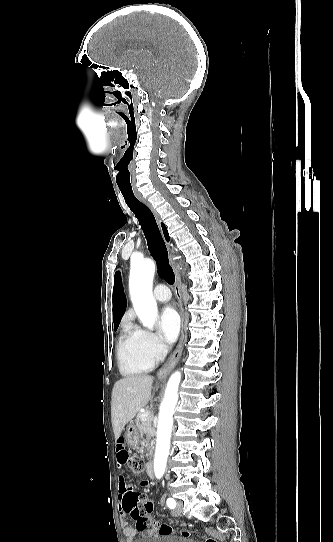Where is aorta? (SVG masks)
Listing matches in <instances>:
<instances>
[{"instance_id":"762f6f07","label":"aorta","mask_w":333,"mask_h":542,"mask_svg":"<svg viewBox=\"0 0 333 542\" xmlns=\"http://www.w3.org/2000/svg\"><path fill=\"white\" fill-rule=\"evenodd\" d=\"M155 264L145 260L135 268H131L129 290L133 308L144 328L153 330L158 316L157 304L153 298L152 282ZM181 382L180 372L170 376L165 396L159 408L157 446L154 458V474L157 480L164 476L170 450V438L173 426V414L178 402V388Z\"/></svg>"}]
</instances>
